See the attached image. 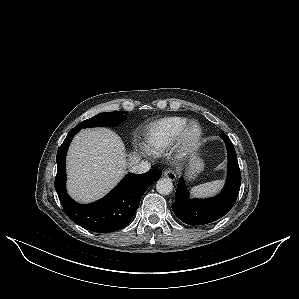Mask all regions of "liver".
<instances>
[{
    "label": "liver",
    "mask_w": 299,
    "mask_h": 299,
    "mask_svg": "<svg viewBox=\"0 0 299 299\" xmlns=\"http://www.w3.org/2000/svg\"><path fill=\"white\" fill-rule=\"evenodd\" d=\"M121 138L108 128L81 130L67 155V189L78 202L88 203L108 193L122 179L127 167L139 161L126 158Z\"/></svg>",
    "instance_id": "1"
}]
</instances>
